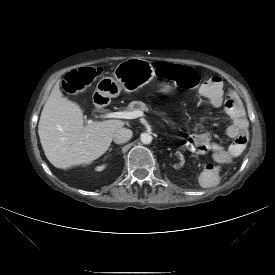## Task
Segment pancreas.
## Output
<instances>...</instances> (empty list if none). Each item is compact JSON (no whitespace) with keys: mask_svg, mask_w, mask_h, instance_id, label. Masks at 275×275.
Returning <instances> with one entry per match:
<instances>
[{"mask_svg":"<svg viewBox=\"0 0 275 275\" xmlns=\"http://www.w3.org/2000/svg\"><path fill=\"white\" fill-rule=\"evenodd\" d=\"M149 109H150L149 106L146 105L145 103H143L142 101H133L127 107V110L130 112L137 111V110L147 112V111H149ZM168 122L171 125L172 129H174L175 128L174 123H172L170 121H168Z\"/></svg>","mask_w":275,"mask_h":275,"instance_id":"cf45deb5","label":"pancreas"}]
</instances>
